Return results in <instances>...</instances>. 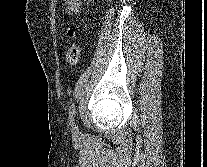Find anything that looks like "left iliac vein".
I'll return each mask as SVG.
<instances>
[{
    "mask_svg": "<svg viewBox=\"0 0 207 167\" xmlns=\"http://www.w3.org/2000/svg\"><path fill=\"white\" fill-rule=\"evenodd\" d=\"M73 133L77 134L78 133V127L76 126L75 123H73V127H72Z\"/></svg>",
    "mask_w": 207,
    "mask_h": 167,
    "instance_id": "1",
    "label": "left iliac vein"
}]
</instances>
